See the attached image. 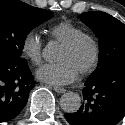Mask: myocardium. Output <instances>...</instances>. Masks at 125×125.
<instances>
[{"label":"myocardium","instance_id":"myocardium-1","mask_svg":"<svg viewBox=\"0 0 125 125\" xmlns=\"http://www.w3.org/2000/svg\"><path fill=\"white\" fill-rule=\"evenodd\" d=\"M83 40H88L93 47V54L90 62L80 71L81 75H87L94 70L99 60L100 46L97 39L92 34L83 32L63 43L62 46L66 49H72L75 48Z\"/></svg>","mask_w":125,"mask_h":125}]
</instances>
